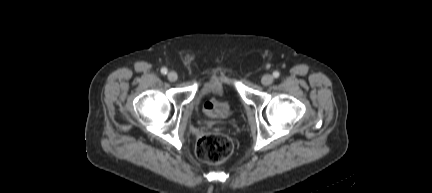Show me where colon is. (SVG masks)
<instances>
[{
	"label": "colon",
	"mask_w": 432,
	"mask_h": 193,
	"mask_svg": "<svg viewBox=\"0 0 432 193\" xmlns=\"http://www.w3.org/2000/svg\"><path fill=\"white\" fill-rule=\"evenodd\" d=\"M233 141L223 135L208 134L199 139L196 154L207 163H221L231 156Z\"/></svg>",
	"instance_id": "colon-1"
}]
</instances>
